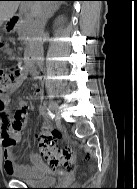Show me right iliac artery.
Instances as JSON below:
<instances>
[{
    "mask_svg": "<svg viewBox=\"0 0 137 189\" xmlns=\"http://www.w3.org/2000/svg\"><path fill=\"white\" fill-rule=\"evenodd\" d=\"M39 111H40V114L45 115L47 117H50L52 115L49 109L45 105H40Z\"/></svg>",
    "mask_w": 137,
    "mask_h": 189,
    "instance_id": "right-iliac-artery-1",
    "label": "right iliac artery"
}]
</instances>
